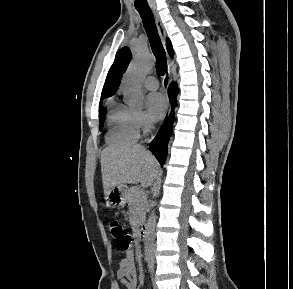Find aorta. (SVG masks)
I'll return each instance as SVG.
<instances>
[{"label":"aorta","instance_id":"aorta-1","mask_svg":"<svg viewBox=\"0 0 293 289\" xmlns=\"http://www.w3.org/2000/svg\"><path fill=\"white\" fill-rule=\"evenodd\" d=\"M154 61L151 56L140 53L136 59L129 65L123 77L122 84L125 90L127 102L130 105H140L143 102L142 78L153 67ZM156 202H152V207ZM155 225L156 214L152 210L145 228L144 245L145 254L149 257L154 256L155 252Z\"/></svg>","mask_w":293,"mask_h":289}]
</instances>
